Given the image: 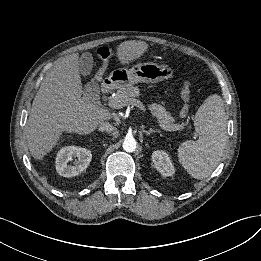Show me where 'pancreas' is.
Returning a JSON list of instances; mask_svg holds the SVG:
<instances>
[{
	"mask_svg": "<svg viewBox=\"0 0 261 261\" xmlns=\"http://www.w3.org/2000/svg\"><path fill=\"white\" fill-rule=\"evenodd\" d=\"M140 95V90L137 87L133 86H122L115 93V96L111 100H120L126 105H131L135 97ZM149 110L152 115L157 118L160 126L166 131H175L182 129L184 124H174V118L171 117V114L160 104L152 103L149 105Z\"/></svg>",
	"mask_w": 261,
	"mask_h": 261,
	"instance_id": "1",
	"label": "pancreas"
}]
</instances>
